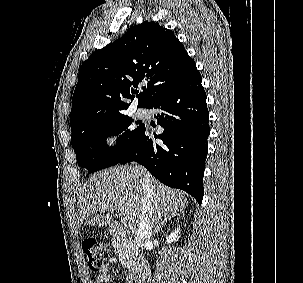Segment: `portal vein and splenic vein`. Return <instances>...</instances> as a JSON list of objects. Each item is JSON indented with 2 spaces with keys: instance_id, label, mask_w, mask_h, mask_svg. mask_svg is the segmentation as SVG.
I'll return each instance as SVG.
<instances>
[{
  "instance_id": "18ae733b",
  "label": "portal vein and splenic vein",
  "mask_w": 303,
  "mask_h": 283,
  "mask_svg": "<svg viewBox=\"0 0 303 283\" xmlns=\"http://www.w3.org/2000/svg\"><path fill=\"white\" fill-rule=\"evenodd\" d=\"M121 222H122V224L124 225V226H129L130 225V221H129V219L127 218V217H124L122 220H121Z\"/></svg>"
}]
</instances>
